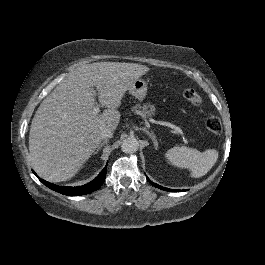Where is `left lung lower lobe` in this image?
Instances as JSON below:
<instances>
[{"label": "left lung lower lobe", "mask_w": 265, "mask_h": 265, "mask_svg": "<svg viewBox=\"0 0 265 265\" xmlns=\"http://www.w3.org/2000/svg\"><path fill=\"white\" fill-rule=\"evenodd\" d=\"M147 179H148V181H149L153 186H155V187H157V188H160V189H162V190H165V191H171V192H180V191H181V190H174V189H168V188L162 187V186H160V185H157V184L153 183L148 177H147Z\"/></svg>", "instance_id": "left-lung-lower-lobe-1"}]
</instances>
